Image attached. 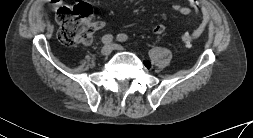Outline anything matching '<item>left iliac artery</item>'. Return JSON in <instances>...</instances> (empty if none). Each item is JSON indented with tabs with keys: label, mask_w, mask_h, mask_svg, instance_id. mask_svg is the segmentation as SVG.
<instances>
[{
	"label": "left iliac artery",
	"mask_w": 253,
	"mask_h": 138,
	"mask_svg": "<svg viewBox=\"0 0 253 138\" xmlns=\"http://www.w3.org/2000/svg\"><path fill=\"white\" fill-rule=\"evenodd\" d=\"M127 39H128V36L125 35V34H119L117 36V40L120 41V42H125V41H127Z\"/></svg>",
	"instance_id": "obj_1"
}]
</instances>
